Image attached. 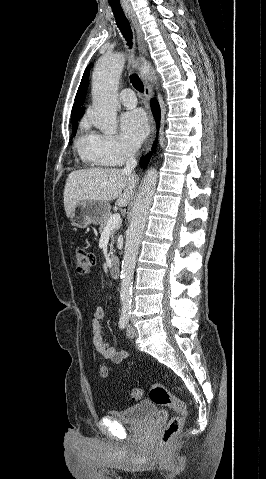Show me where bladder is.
<instances>
[{
    "instance_id": "1",
    "label": "bladder",
    "mask_w": 266,
    "mask_h": 479,
    "mask_svg": "<svg viewBox=\"0 0 266 479\" xmlns=\"http://www.w3.org/2000/svg\"><path fill=\"white\" fill-rule=\"evenodd\" d=\"M158 413L157 404L152 401H141L123 410H111L109 415L125 424H141L156 416Z\"/></svg>"
}]
</instances>
